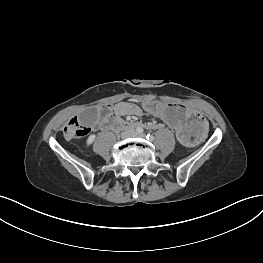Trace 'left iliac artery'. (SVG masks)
<instances>
[{"label":"left iliac artery","instance_id":"1","mask_svg":"<svg viewBox=\"0 0 263 263\" xmlns=\"http://www.w3.org/2000/svg\"><path fill=\"white\" fill-rule=\"evenodd\" d=\"M146 138H147V140H149V141H153V140H154V136L151 135V134H147Z\"/></svg>","mask_w":263,"mask_h":263}]
</instances>
